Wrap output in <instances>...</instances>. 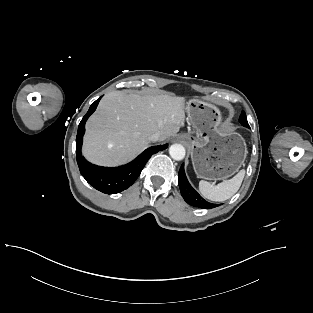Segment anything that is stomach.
Returning <instances> with one entry per match:
<instances>
[{
  "label": "stomach",
  "instance_id": "stomach-1",
  "mask_svg": "<svg viewBox=\"0 0 313 313\" xmlns=\"http://www.w3.org/2000/svg\"><path fill=\"white\" fill-rule=\"evenodd\" d=\"M186 112L192 131L182 134V138L190 150L196 175L206 180H223L236 173L247 156L244 138L225 130L219 109L210 103L192 99Z\"/></svg>",
  "mask_w": 313,
  "mask_h": 313
}]
</instances>
